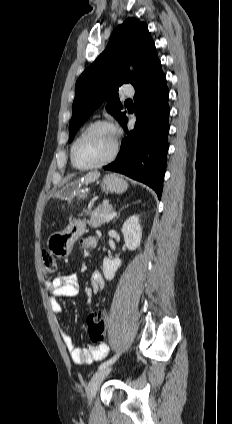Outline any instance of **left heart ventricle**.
<instances>
[{
    "mask_svg": "<svg viewBox=\"0 0 232 424\" xmlns=\"http://www.w3.org/2000/svg\"><path fill=\"white\" fill-rule=\"evenodd\" d=\"M114 143V134L107 128H96L89 132L76 148V161L79 165H91L106 158Z\"/></svg>",
    "mask_w": 232,
    "mask_h": 424,
    "instance_id": "left-heart-ventricle-1",
    "label": "left heart ventricle"
}]
</instances>
